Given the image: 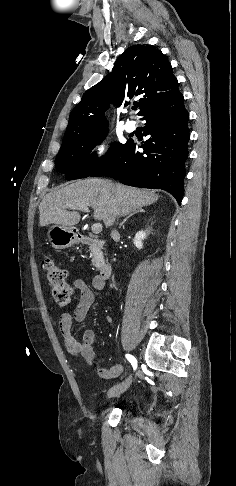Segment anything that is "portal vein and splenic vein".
<instances>
[{"mask_svg": "<svg viewBox=\"0 0 236 486\" xmlns=\"http://www.w3.org/2000/svg\"><path fill=\"white\" fill-rule=\"evenodd\" d=\"M79 210L84 211V212L89 211L88 208H80ZM91 230L94 234L100 233L102 231V224L101 223H94L91 227Z\"/></svg>", "mask_w": 236, "mask_h": 486, "instance_id": "18ae733b", "label": "portal vein and splenic vein"}]
</instances>
